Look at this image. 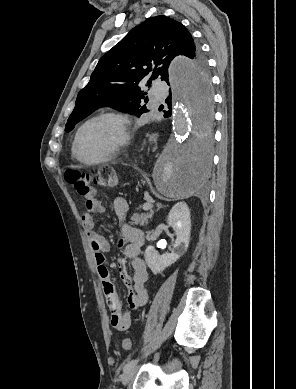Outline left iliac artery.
<instances>
[{"mask_svg": "<svg viewBox=\"0 0 296 389\" xmlns=\"http://www.w3.org/2000/svg\"><path fill=\"white\" fill-rule=\"evenodd\" d=\"M137 362H138V359H134V360L127 362V364L123 368L124 372L127 371L128 369L132 368L133 366H135L137 364Z\"/></svg>", "mask_w": 296, "mask_h": 389, "instance_id": "44dca946", "label": "left iliac artery"}]
</instances>
